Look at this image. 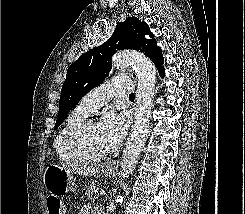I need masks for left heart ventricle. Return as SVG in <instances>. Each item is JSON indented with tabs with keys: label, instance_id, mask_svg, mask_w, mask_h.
<instances>
[{
	"label": "left heart ventricle",
	"instance_id": "b2bd125f",
	"mask_svg": "<svg viewBox=\"0 0 245 214\" xmlns=\"http://www.w3.org/2000/svg\"><path fill=\"white\" fill-rule=\"evenodd\" d=\"M82 145L85 151L91 155H97L107 151L99 135L97 125H91L85 130Z\"/></svg>",
	"mask_w": 245,
	"mask_h": 214
}]
</instances>
